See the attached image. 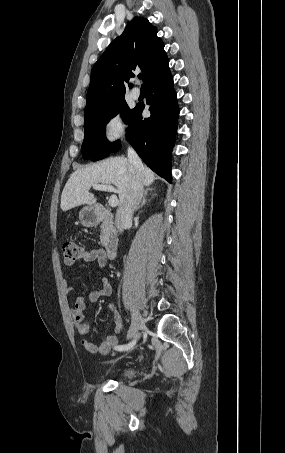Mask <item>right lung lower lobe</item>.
Returning a JSON list of instances; mask_svg holds the SVG:
<instances>
[{"mask_svg":"<svg viewBox=\"0 0 285 453\" xmlns=\"http://www.w3.org/2000/svg\"><path fill=\"white\" fill-rule=\"evenodd\" d=\"M149 118H142L144 105H137L130 119L127 139L155 173L171 183V152L179 109L169 67L147 82ZM120 149L118 145L113 152Z\"/></svg>","mask_w":285,"mask_h":453,"instance_id":"1","label":"right lung lower lobe"}]
</instances>
